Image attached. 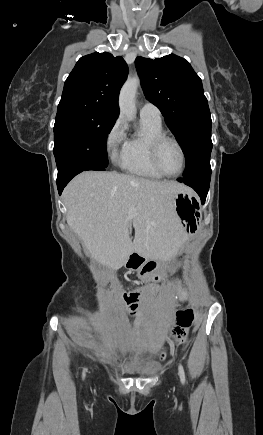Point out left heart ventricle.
Here are the masks:
<instances>
[{"label":"left heart ventricle","mask_w":263,"mask_h":435,"mask_svg":"<svg viewBox=\"0 0 263 435\" xmlns=\"http://www.w3.org/2000/svg\"><path fill=\"white\" fill-rule=\"evenodd\" d=\"M159 161L165 172L178 173L182 167V157L179 148L172 142H165L159 152Z\"/></svg>","instance_id":"obj_1"}]
</instances>
